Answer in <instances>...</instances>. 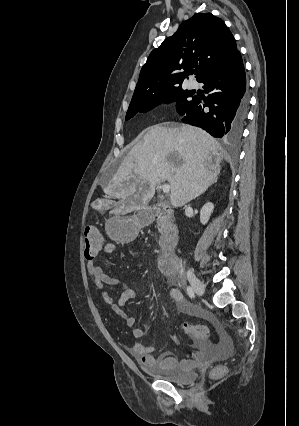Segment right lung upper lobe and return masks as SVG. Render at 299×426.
Returning a JSON list of instances; mask_svg holds the SVG:
<instances>
[{
	"instance_id": "right-lung-upper-lobe-1",
	"label": "right lung upper lobe",
	"mask_w": 299,
	"mask_h": 426,
	"mask_svg": "<svg viewBox=\"0 0 299 426\" xmlns=\"http://www.w3.org/2000/svg\"><path fill=\"white\" fill-rule=\"evenodd\" d=\"M238 53L235 39L222 19L211 13L195 14L150 53L131 101L180 86L194 68L200 82Z\"/></svg>"
}]
</instances>
